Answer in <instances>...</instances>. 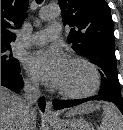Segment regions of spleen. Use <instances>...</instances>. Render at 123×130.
Here are the masks:
<instances>
[{"label": "spleen", "instance_id": "spleen-1", "mask_svg": "<svg viewBox=\"0 0 123 130\" xmlns=\"http://www.w3.org/2000/svg\"><path fill=\"white\" fill-rule=\"evenodd\" d=\"M98 130H123V121L112 105H103V119Z\"/></svg>", "mask_w": 123, "mask_h": 130}]
</instances>
